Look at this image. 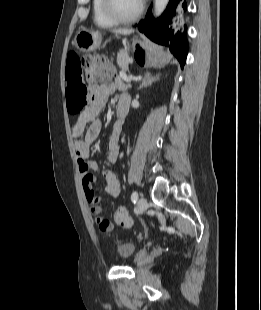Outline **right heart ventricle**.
Wrapping results in <instances>:
<instances>
[{
	"label": "right heart ventricle",
	"mask_w": 261,
	"mask_h": 310,
	"mask_svg": "<svg viewBox=\"0 0 261 310\" xmlns=\"http://www.w3.org/2000/svg\"><path fill=\"white\" fill-rule=\"evenodd\" d=\"M92 16H93V21L96 26L100 28H112L116 25L113 21L108 19L104 13L102 12L101 9V0H93L92 2Z\"/></svg>",
	"instance_id": "e07e8e85"
}]
</instances>
